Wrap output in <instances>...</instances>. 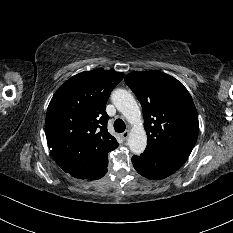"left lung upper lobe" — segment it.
Returning <instances> with one entry per match:
<instances>
[{
  "instance_id": "5c2ea615",
  "label": "left lung upper lobe",
  "mask_w": 233,
  "mask_h": 233,
  "mask_svg": "<svg viewBox=\"0 0 233 233\" xmlns=\"http://www.w3.org/2000/svg\"><path fill=\"white\" fill-rule=\"evenodd\" d=\"M125 82L143 108L145 151L185 162L199 132L197 111L187 89L160 71H134L126 75Z\"/></svg>"
}]
</instances>
